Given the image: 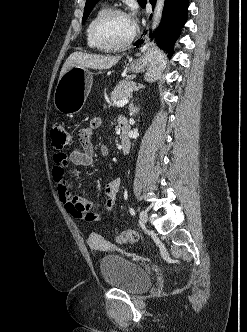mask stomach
Returning a JSON list of instances; mask_svg holds the SVG:
<instances>
[{
    "label": "stomach",
    "instance_id": "1",
    "mask_svg": "<svg viewBox=\"0 0 247 332\" xmlns=\"http://www.w3.org/2000/svg\"><path fill=\"white\" fill-rule=\"evenodd\" d=\"M165 64L166 58L163 52L157 47H153L148 49L144 57L133 62L129 71L139 73L148 66L146 78L153 81L158 77ZM92 83L93 77L88 68L76 66L69 68L57 83L54 93L55 108L67 116H73L80 112L90 93Z\"/></svg>",
    "mask_w": 247,
    "mask_h": 332
}]
</instances>
